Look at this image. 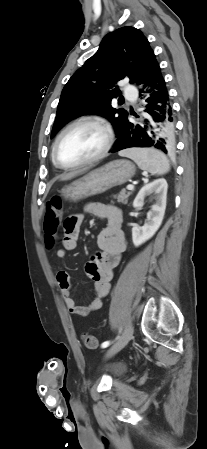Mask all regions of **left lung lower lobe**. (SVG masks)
<instances>
[{"mask_svg":"<svg viewBox=\"0 0 207 449\" xmlns=\"http://www.w3.org/2000/svg\"><path fill=\"white\" fill-rule=\"evenodd\" d=\"M142 84L143 89L140 92H144L145 89V93L148 94L145 100L148 118L142 126L126 120L117 136L113 153L130 147H154L165 153L175 148L172 104L157 61L151 65Z\"/></svg>","mask_w":207,"mask_h":449,"instance_id":"left-lung-lower-lobe-1","label":"left lung lower lobe"}]
</instances>
